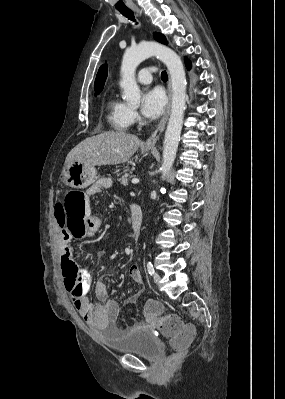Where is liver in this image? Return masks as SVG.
Listing matches in <instances>:
<instances>
[{"mask_svg":"<svg viewBox=\"0 0 285 399\" xmlns=\"http://www.w3.org/2000/svg\"><path fill=\"white\" fill-rule=\"evenodd\" d=\"M140 139L124 131H106L89 137L74 147L65 164L72 161L88 165H117L127 162L140 145Z\"/></svg>","mask_w":285,"mask_h":399,"instance_id":"liver-1","label":"liver"}]
</instances>
